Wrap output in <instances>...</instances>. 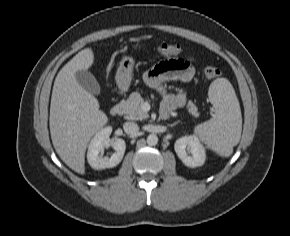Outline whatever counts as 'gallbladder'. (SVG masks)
Returning <instances> with one entry per match:
<instances>
[{
  "instance_id": "1",
  "label": "gallbladder",
  "mask_w": 290,
  "mask_h": 236,
  "mask_svg": "<svg viewBox=\"0 0 290 236\" xmlns=\"http://www.w3.org/2000/svg\"><path fill=\"white\" fill-rule=\"evenodd\" d=\"M76 80L78 84L83 87L86 91L99 95L101 93V88L96 78L88 71H77Z\"/></svg>"
}]
</instances>
